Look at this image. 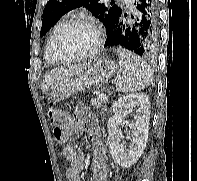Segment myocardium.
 <instances>
[{
  "label": "myocardium",
  "mask_w": 197,
  "mask_h": 181,
  "mask_svg": "<svg viewBox=\"0 0 197 181\" xmlns=\"http://www.w3.org/2000/svg\"><path fill=\"white\" fill-rule=\"evenodd\" d=\"M88 24L90 25L94 31H95V43L93 45V47L82 54L73 56V57H64L60 51V47H59V43L60 40L63 36V34L65 33V31L75 25V24ZM103 39H104V34H103V30L100 26V24L92 17H85V16H80V17H75V18H71L69 20H67L59 29V31L57 32L55 39H54V53L55 56L57 57V59L62 62V63H70V62H74V61H78V60H82V59H87L90 57H93L94 55H96L98 53V51L100 50L102 44H103Z\"/></svg>",
  "instance_id": "1"
}]
</instances>
